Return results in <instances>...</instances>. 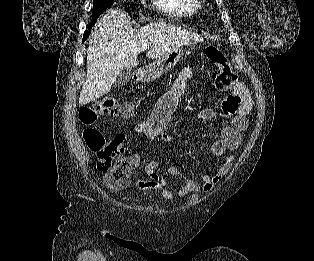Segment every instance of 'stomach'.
I'll list each match as a JSON object with an SVG mask.
<instances>
[{"mask_svg": "<svg viewBox=\"0 0 314 261\" xmlns=\"http://www.w3.org/2000/svg\"><path fill=\"white\" fill-rule=\"evenodd\" d=\"M182 53L183 50L179 47L159 57L153 63L143 67L137 73L138 81L151 82L156 80L179 62Z\"/></svg>", "mask_w": 314, "mask_h": 261, "instance_id": "obj_1", "label": "stomach"}]
</instances>
